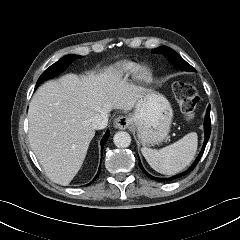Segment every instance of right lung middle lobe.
I'll use <instances>...</instances> for the list:
<instances>
[{
  "instance_id": "right-lung-middle-lobe-1",
  "label": "right lung middle lobe",
  "mask_w": 240,
  "mask_h": 240,
  "mask_svg": "<svg viewBox=\"0 0 240 240\" xmlns=\"http://www.w3.org/2000/svg\"><path fill=\"white\" fill-rule=\"evenodd\" d=\"M79 55H66L59 61L47 68L42 75L39 77L36 88L45 80L53 78L59 73H61L74 59L81 58Z\"/></svg>"
}]
</instances>
